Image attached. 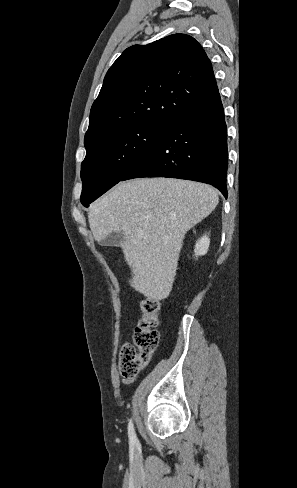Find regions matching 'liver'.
I'll return each mask as SVG.
<instances>
[{
	"instance_id": "6515ba94",
	"label": "liver",
	"mask_w": 297,
	"mask_h": 488,
	"mask_svg": "<svg viewBox=\"0 0 297 488\" xmlns=\"http://www.w3.org/2000/svg\"><path fill=\"white\" fill-rule=\"evenodd\" d=\"M219 202L217 191L202 183L143 178L122 182L97 200L88 213L95 240L123 232L120 244L131 269L130 285L149 299L168 297L188 230Z\"/></svg>"
}]
</instances>
